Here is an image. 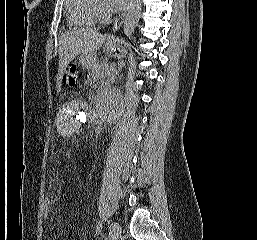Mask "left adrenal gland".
Instances as JSON below:
<instances>
[{
	"instance_id": "1",
	"label": "left adrenal gland",
	"mask_w": 257,
	"mask_h": 240,
	"mask_svg": "<svg viewBox=\"0 0 257 240\" xmlns=\"http://www.w3.org/2000/svg\"><path fill=\"white\" fill-rule=\"evenodd\" d=\"M119 71H120V68H119V70L116 72V75H113V76H112V78H111L112 81H115V79L117 78V75H118V72H119Z\"/></svg>"
}]
</instances>
